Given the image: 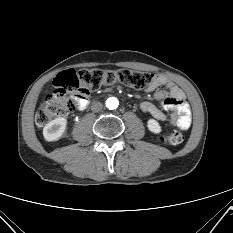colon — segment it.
<instances>
[{
    "label": "colon",
    "mask_w": 233,
    "mask_h": 233,
    "mask_svg": "<svg viewBox=\"0 0 233 233\" xmlns=\"http://www.w3.org/2000/svg\"><path fill=\"white\" fill-rule=\"evenodd\" d=\"M153 75L129 69L117 71L101 69L66 70L55 79V88L48 94L36 113L35 121L39 127L45 126L54 118L62 117L75 110L79 103L86 100L90 93L103 86L116 83L135 89H146L152 82ZM183 133L174 130L160 134L162 144L179 145Z\"/></svg>",
    "instance_id": "colon-1"
}]
</instances>
